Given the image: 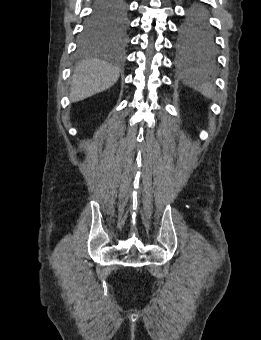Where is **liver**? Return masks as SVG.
<instances>
[{
	"label": "liver",
	"mask_w": 261,
	"mask_h": 340,
	"mask_svg": "<svg viewBox=\"0 0 261 340\" xmlns=\"http://www.w3.org/2000/svg\"><path fill=\"white\" fill-rule=\"evenodd\" d=\"M119 78V69L109 63L92 59L78 63L71 82L70 98L78 102L109 89Z\"/></svg>",
	"instance_id": "1"
}]
</instances>
